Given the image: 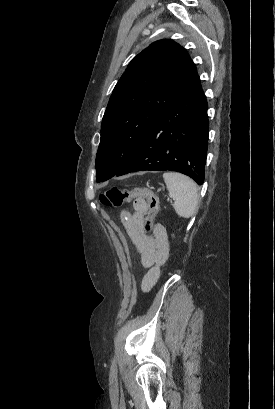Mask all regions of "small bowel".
<instances>
[{"label":"small bowel","mask_w":275,"mask_h":409,"mask_svg":"<svg viewBox=\"0 0 275 409\" xmlns=\"http://www.w3.org/2000/svg\"><path fill=\"white\" fill-rule=\"evenodd\" d=\"M133 212L124 211L122 221L127 233L135 245L139 254L140 264L144 268H150L142 280L141 288L148 291L157 281V277L151 279V273L163 265L169 257V243L164 228L160 225L155 227V243L143 230V224L147 213V204L144 200L133 202ZM155 265V266H154Z\"/></svg>","instance_id":"c3829d8e"}]
</instances>
